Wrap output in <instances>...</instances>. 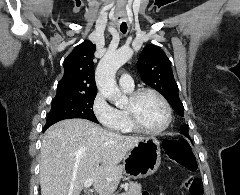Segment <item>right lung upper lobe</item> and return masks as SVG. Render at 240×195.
I'll list each match as a JSON object with an SVG mask.
<instances>
[{
	"mask_svg": "<svg viewBox=\"0 0 240 195\" xmlns=\"http://www.w3.org/2000/svg\"><path fill=\"white\" fill-rule=\"evenodd\" d=\"M95 49L96 45L85 41L67 56L56 96L97 94L93 63Z\"/></svg>",
	"mask_w": 240,
	"mask_h": 195,
	"instance_id": "right-lung-upper-lobe-1",
	"label": "right lung upper lobe"
}]
</instances>
